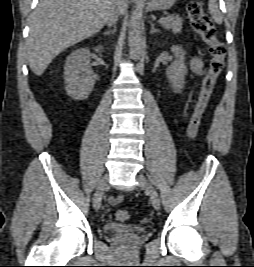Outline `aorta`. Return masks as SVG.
Here are the masks:
<instances>
[{"label":"aorta","instance_id":"obj_1","mask_svg":"<svg viewBox=\"0 0 254 267\" xmlns=\"http://www.w3.org/2000/svg\"><path fill=\"white\" fill-rule=\"evenodd\" d=\"M129 54L133 60H138L142 54L144 40L141 30V22L136 12H132L128 23Z\"/></svg>","mask_w":254,"mask_h":267}]
</instances>
